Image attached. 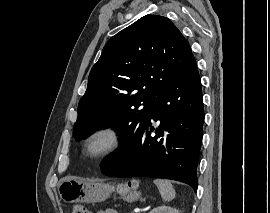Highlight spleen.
Listing matches in <instances>:
<instances>
[{
  "instance_id": "spleen-1",
  "label": "spleen",
  "mask_w": 270,
  "mask_h": 213,
  "mask_svg": "<svg viewBox=\"0 0 270 213\" xmlns=\"http://www.w3.org/2000/svg\"><path fill=\"white\" fill-rule=\"evenodd\" d=\"M154 184L157 186L164 201L170 202L175 198L176 193L170 181L155 179Z\"/></svg>"
}]
</instances>
